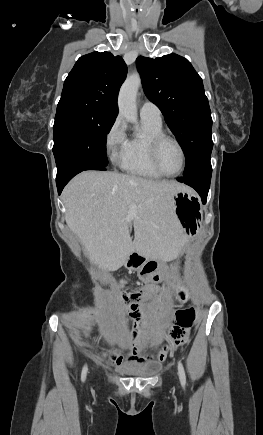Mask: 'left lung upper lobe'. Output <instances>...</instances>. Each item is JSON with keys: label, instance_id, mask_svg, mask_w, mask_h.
Here are the masks:
<instances>
[{"label": "left lung upper lobe", "instance_id": "1", "mask_svg": "<svg viewBox=\"0 0 263 435\" xmlns=\"http://www.w3.org/2000/svg\"><path fill=\"white\" fill-rule=\"evenodd\" d=\"M136 65L146 96L161 110L184 151L185 174L210 161L211 112L202 79L191 63L171 53L155 59L139 56Z\"/></svg>", "mask_w": 263, "mask_h": 435}]
</instances>
